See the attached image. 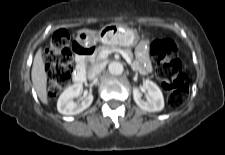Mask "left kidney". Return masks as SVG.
Listing matches in <instances>:
<instances>
[{"label":"left kidney","mask_w":225,"mask_h":155,"mask_svg":"<svg viewBox=\"0 0 225 155\" xmlns=\"http://www.w3.org/2000/svg\"><path fill=\"white\" fill-rule=\"evenodd\" d=\"M144 88L147 91V101L141 98V92L138 88L133 89V98L136 104L148 112H158L164 108V98L159 87L152 81L146 80Z\"/></svg>","instance_id":"obj_1"}]
</instances>
